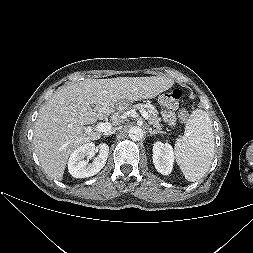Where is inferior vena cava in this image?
Wrapping results in <instances>:
<instances>
[{
    "label": "inferior vena cava",
    "mask_w": 253,
    "mask_h": 253,
    "mask_svg": "<svg viewBox=\"0 0 253 253\" xmlns=\"http://www.w3.org/2000/svg\"><path fill=\"white\" fill-rule=\"evenodd\" d=\"M116 130H118V129L111 130V131L107 132L106 135H111V134H113L114 132H116Z\"/></svg>",
    "instance_id": "obj_1"
}]
</instances>
